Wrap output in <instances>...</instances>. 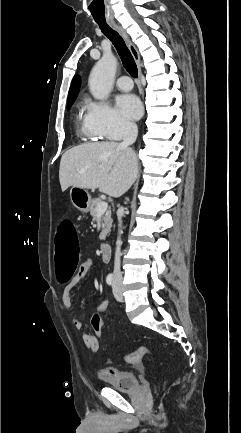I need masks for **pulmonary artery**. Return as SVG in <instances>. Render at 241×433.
<instances>
[{
    "instance_id": "obj_1",
    "label": "pulmonary artery",
    "mask_w": 241,
    "mask_h": 433,
    "mask_svg": "<svg viewBox=\"0 0 241 433\" xmlns=\"http://www.w3.org/2000/svg\"><path fill=\"white\" fill-rule=\"evenodd\" d=\"M116 85L120 90L123 91H129L133 87V83L131 79L126 75H123L120 78H118V80L116 81Z\"/></svg>"
}]
</instances>
